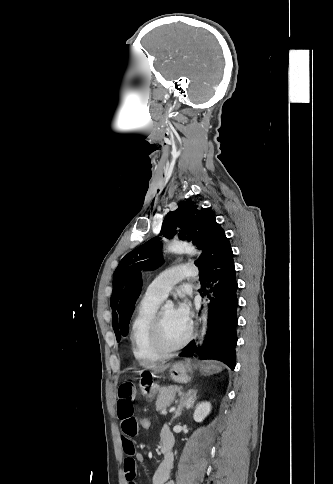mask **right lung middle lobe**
<instances>
[{
	"instance_id": "dd1d6c3e",
	"label": "right lung middle lobe",
	"mask_w": 333,
	"mask_h": 484,
	"mask_svg": "<svg viewBox=\"0 0 333 484\" xmlns=\"http://www.w3.org/2000/svg\"><path fill=\"white\" fill-rule=\"evenodd\" d=\"M127 332H128V323L126 324L125 329H124L122 334L125 336L127 334Z\"/></svg>"
}]
</instances>
